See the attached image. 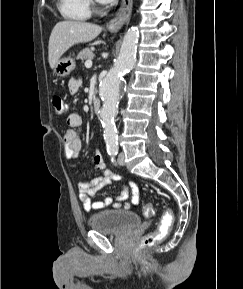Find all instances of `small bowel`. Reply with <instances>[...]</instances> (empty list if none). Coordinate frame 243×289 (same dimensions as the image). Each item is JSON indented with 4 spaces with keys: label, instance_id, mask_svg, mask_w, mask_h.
I'll return each instance as SVG.
<instances>
[{
    "label": "small bowel",
    "instance_id": "small-bowel-1",
    "mask_svg": "<svg viewBox=\"0 0 243 289\" xmlns=\"http://www.w3.org/2000/svg\"><path fill=\"white\" fill-rule=\"evenodd\" d=\"M81 86V80L77 77L72 78L68 83L69 92L75 94ZM83 120L80 114L70 113L67 117L68 129L63 134V150L66 159L75 160L79 157L82 140L77 129L82 125ZM93 164L97 171H100L101 176L94 179H82L77 183L79 190V199L85 211L100 210L108 206L119 208L122 205L126 210H129L133 205L139 202L138 185L130 181L126 184L118 196L109 195L104 201L91 200V197L96 195L101 189L113 181L121 180V175L115 171L106 168L105 161L100 151H95L93 156ZM131 193V202H127V198Z\"/></svg>",
    "mask_w": 243,
    "mask_h": 289
}]
</instances>
